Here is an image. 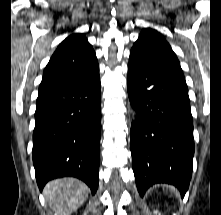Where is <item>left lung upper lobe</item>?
<instances>
[{
    "label": "left lung upper lobe",
    "instance_id": "obj_1",
    "mask_svg": "<svg viewBox=\"0 0 221 215\" xmlns=\"http://www.w3.org/2000/svg\"><path fill=\"white\" fill-rule=\"evenodd\" d=\"M131 53L161 54L178 60L164 37L157 30L151 28H146L140 33Z\"/></svg>",
    "mask_w": 221,
    "mask_h": 215
}]
</instances>
